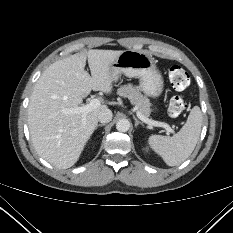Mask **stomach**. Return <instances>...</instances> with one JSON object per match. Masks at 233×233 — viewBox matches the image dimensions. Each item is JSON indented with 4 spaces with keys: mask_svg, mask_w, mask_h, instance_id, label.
Returning <instances> with one entry per match:
<instances>
[{
    "mask_svg": "<svg viewBox=\"0 0 233 233\" xmlns=\"http://www.w3.org/2000/svg\"><path fill=\"white\" fill-rule=\"evenodd\" d=\"M111 74L114 81L121 74L129 78H139L140 89L150 97L156 98L163 91L164 80L154 58L140 51H123L111 64Z\"/></svg>",
    "mask_w": 233,
    "mask_h": 233,
    "instance_id": "stomach-1",
    "label": "stomach"
}]
</instances>
